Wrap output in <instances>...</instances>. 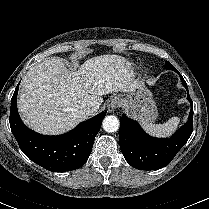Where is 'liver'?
<instances>
[{
	"label": "liver",
	"instance_id": "6515ba94",
	"mask_svg": "<svg viewBox=\"0 0 209 209\" xmlns=\"http://www.w3.org/2000/svg\"><path fill=\"white\" fill-rule=\"evenodd\" d=\"M122 56L105 54L86 60L76 72L58 57L31 67L18 93L24 123L45 135H59L86 120L87 106L99 109L103 95L131 92L139 81Z\"/></svg>",
	"mask_w": 209,
	"mask_h": 209
}]
</instances>
